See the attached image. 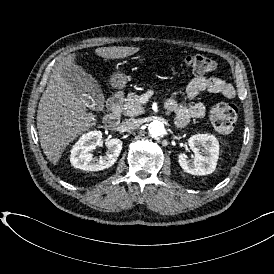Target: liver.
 <instances>
[{"mask_svg":"<svg viewBox=\"0 0 274 274\" xmlns=\"http://www.w3.org/2000/svg\"><path fill=\"white\" fill-rule=\"evenodd\" d=\"M139 51L138 47H100L95 53L105 59H119ZM69 54L53 70L37 111V128L41 148L54 165L76 137L96 126V115L87 112L86 104L74 94L72 77L84 71Z\"/></svg>","mask_w":274,"mask_h":274,"instance_id":"obj_1","label":"liver"}]
</instances>
